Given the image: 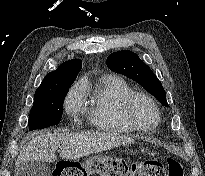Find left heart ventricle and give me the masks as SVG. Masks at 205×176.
<instances>
[{"mask_svg": "<svg viewBox=\"0 0 205 176\" xmlns=\"http://www.w3.org/2000/svg\"><path fill=\"white\" fill-rule=\"evenodd\" d=\"M133 119L142 126H152L157 121V116L151 105L139 98L132 105Z\"/></svg>", "mask_w": 205, "mask_h": 176, "instance_id": "left-heart-ventricle-1", "label": "left heart ventricle"}]
</instances>
